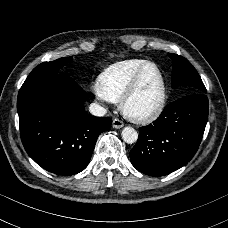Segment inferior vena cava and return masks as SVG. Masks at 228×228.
<instances>
[{
  "label": "inferior vena cava",
  "instance_id": "inferior-vena-cava-1",
  "mask_svg": "<svg viewBox=\"0 0 228 228\" xmlns=\"http://www.w3.org/2000/svg\"><path fill=\"white\" fill-rule=\"evenodd\" d=\"M89 111L92 115L99 117L104 116L106 114V110L96 103L90 104Z\"/></svg>",
  "mask_w": 228,
  "mask_h": 228
}]
</instances>
